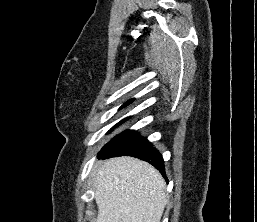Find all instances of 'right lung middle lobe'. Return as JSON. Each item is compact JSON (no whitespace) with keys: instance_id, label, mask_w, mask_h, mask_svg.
Returning <instances> with one entry per match:
<instances>
[{"instance_id":"1","label":"right lung middle lobe","mask_w":257,"mask_h":222,"mask_svg":"<svg viewBox=\"0 0 257 222\" xmlns=\"http://www.w3.org/2000/svg\"><path fill=\"white\" fill-rule=\"evenodd\" d=\"M131 102H132V101L126 102L123 106H121L120 109L126 107V106L129 105ZM127 119H128V118H126V119L120 121L119 123H117L110 131H112L114 128L118 127L120 124H122L123 122H125ZM129 132H130V130H127V131L122 132L121 134H119V135H117L116 137H114L108 144H110V143H112V142L118 140L119 138L123 137L124 135H126V134L129 133ZM108 144H107V145H108Z\"/></svg>"}]
</instances>
